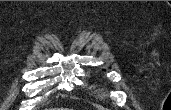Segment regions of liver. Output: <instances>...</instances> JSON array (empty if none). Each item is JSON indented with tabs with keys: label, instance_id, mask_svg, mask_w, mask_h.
I'll return each instance as SVG.
<instances>
[{
	"label": "liver",
	"instance_id": "1",
	"mask_svg": "<svg viewBox=\"0 0 171 110\" xmlns=\"http://www.w3.org/2000/svg\"><path fill=\"white\" fill-rule=\"evenodd\" d=\"M54 110H67V109H63V108H61V109H54Z\"/></svg>",
	"mask_w": 171,
	"mask_h": 110
}]
</instances>
